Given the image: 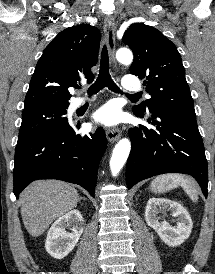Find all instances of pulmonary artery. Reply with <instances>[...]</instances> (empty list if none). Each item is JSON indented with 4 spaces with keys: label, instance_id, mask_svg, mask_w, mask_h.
<instances>
[{
    "label": "pulmonary artery",
    "instance_id": "e3ab8cb5",
    "mask_svg": "<svg viewBox=\"0 0 215 274\" xmlns=\"http://www.w3.org/2000/svg\"><path fill=\"white\" fill-rule=\"evenodd\" d=\"M122 85H123V88L127 91L141 90L140 82L136 78L131 77V76H125L122 80ZM93 100H94V98H90V99L80 98V97L74 98L70 104V108L72 110H75V109L79 108L80 106L84 105L85 103L91 102Z\"/></svg>",
    "mask_w": 215,
    "mask_h": 274
}]
</instances>
